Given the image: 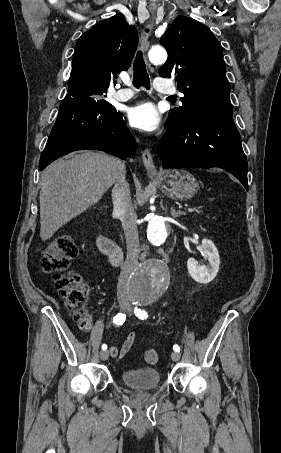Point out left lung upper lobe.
Here are the masks:
<instances>
[{
  "label": "left lung upper lobe",
  "instance_id": "obj_1",
  "mask_svg": "<svg viewBox=\"0 0 281 453\" xmlns=\"http://www.w3.org/2000/svg\"><path fill=\"white\" fill-rule=\"evenodd\" d=\"M160 44L168 51V59L159 74L175 78L179 91L185 95L180 98L183 105L170 110L166 128L194 115L232 111L222 48L207 26L180 15L161 37Z\"/></svg>",
  "mask_w": 281,
  "mask_h": 453
}]
</instances>
